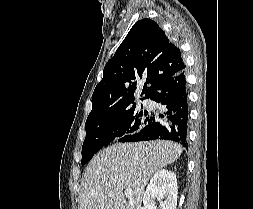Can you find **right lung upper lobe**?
Returning <instances> with one entry per match:
<instances>
[{
  "label": "right lung upper lobe",
  "instance_id": "1",
  "mask_svg": "<svg viewBox=\"0 0 253 209\" xmlns=\"http://www.w3.org/2000/svg\"><path fill=\"white\" fill-rule=\"evenodd\" d=\"M185 64L178 47L150 19L136 22L105 65L103 78L92 95L89 117L136 106L134 93L142 80L141 96L151 98Z\"/></svg>",
  "mask_w": 253,
  "mask_h": 209
}]
</instances>
